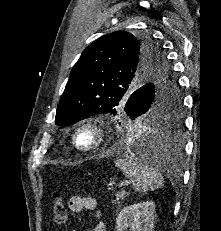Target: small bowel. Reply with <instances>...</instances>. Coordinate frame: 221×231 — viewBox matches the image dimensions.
<instances>
[{"instance_id": "c3829d8e", "label": "small bowel", "mask_w": 221, "mask_h": 231, "mask_svg": "<svg viewBox=\"0 0 221 231\" xmlns=\"http://www.w3.org/2000/svg\"><path fill=\"white\" fill-rule=\"evenodd\" d=\"M69 208L72 212H80L87 210L92 213H97V201L95 198L90 196H72L69 200ZM92 231H106L104 223L97 222Z\"/></svg>"}]
</instances>
